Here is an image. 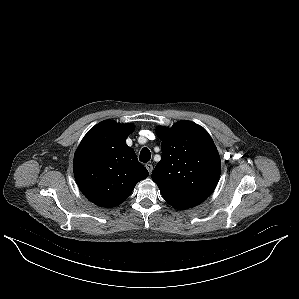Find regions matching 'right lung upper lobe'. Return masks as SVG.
Returning <instances> with one entry per match:
<instances>
[{
    "label": "right lung upper lobe",
    "instance_id": "1",
    "mask_svg": "<svg viewBox=\"0 0 299 299\" xmlns=\"http://www.w3.org/2000/svg\"><path fill=\"white\" fill-rule=\"evenodd\" d=\"M133 130L132 124L102 121L85 135L75 152L73 171L77 185L98 206L121 204L149 175L125 143Z\"/></svg>",
    "mask_w": 299,
    "mask_h": 299
}]
</instances>
